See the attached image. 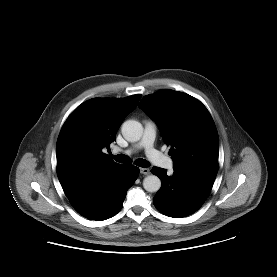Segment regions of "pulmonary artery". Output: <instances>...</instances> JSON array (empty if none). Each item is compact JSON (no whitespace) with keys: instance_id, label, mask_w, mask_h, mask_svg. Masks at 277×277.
Returning <instances> with one entry per match:
<instances>
[{"instance_id":"pulmonary-artery-1","label":"pulmonary artery","mask_w":277,"mask_h":277,"mask_svg":"<svg viewBox=\"0 0 277 277\" xmlns=\"http://www.w3.org/2000/svg\"><path fill=\"white\" fill-rule=\"evenodd\" d=\"M156 125L152 121H145L144 132L140 142L133 148L127 149L125 153L130 154L138 149H144L149 160L155 165L172 170L173 160L154 147ZM119 150L117 149L116 152Z\"/></svg>"}]
</instances>
